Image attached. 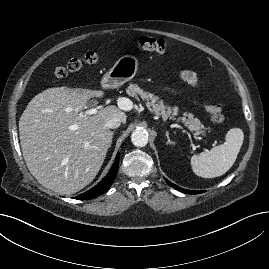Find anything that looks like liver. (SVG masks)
<instances>
[{
	"mask_svg": "<svg viewBox=\"0 0 269 269\" xmlns=\"http://www.w3.org/2000/svg\"><path fill=\"white\" fill-rule=\"evenodd\" d=\"M101 90L49 88L37 94L19 120L22 154L31 174L44 187L73 194L98 174L113 133L106 127L111 117L126 123V114L115 105L94 115L82 114Z\"/></svg>",
	"mask_w": 269,
	"mask_h": 269,
	"instance_id": "6515ba94",
	"label": "liver"
}]
</instances>
